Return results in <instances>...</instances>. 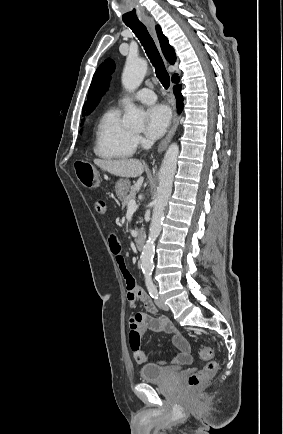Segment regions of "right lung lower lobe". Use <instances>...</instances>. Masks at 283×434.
I'll return each mask as SVG.
<instances>
[{"mask_svg": "<svg viewBox=\"0 0 283 434\" xmlns=\"http://www.w3.org/2000/svg\"><path fill=\"white\" fill-rule=\"evenodd\" d=\"M172 81L175 83L179 82V77L177 74L173 75ZM173 92H174V95H175L176 101H177V110L180 113L183 109V97L181 95V85L180 84L174 85L173 86Z\"/></svg>", "mask_w": 283, "mask_h": 434, "instance_id": "98d812e1", "label": "right lung lower lobe"}]
</instances>
